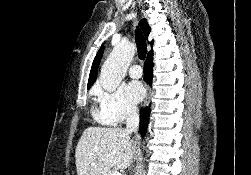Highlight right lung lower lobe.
Returning a JSON list of instances; mask_svg holds the SVG:
<instances>
[{
    "label": "right lung lower lobe",
    "mask_w": 251,
    "mask_h": 175,
    "mask_svg": "<svg viewBox=\"0 0 251 175\" xmlns=\"http://www.w3.org/2000/svg\"><path fill=\"white\" fill-rule=\"evenodd\" d=\"M153 59H146L144 63V81L148 84H152L153 78ZM150 108L146 107L141 110L140 114V133L144 135L147 124L149 122Z\"/></svg>",
    "instance_id": "right-lung-lower-lobe-1"
}]
</instances>
